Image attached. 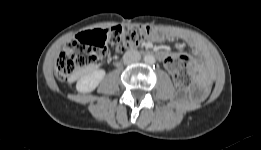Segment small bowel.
<instances>
[{"instance_id": "1", "label": "small bowel", "mask_w": 261, "mask_h": 150, "mask_svg": "<svg viewBox=\"0 0 261 150\" xmlns=\"http://www.w3.org/2000/svg\"><path fill=\"white\" fill-rule=\"evenodd\" d=\"M165 39H175V40H183L185 41L189 46L195 48L198 51L202 50V46L200 44V42L195 39L194 37L188 35V34H184V33H180L177 31H171V30H154L153 33L149 36V40L151 42H161ZM151 43L147 42L146 46L150 47ZM158 58L162 61H164L165 66L167 67V61L171 58H173V55L170 51H160L158 52ZM199 70L201 69V67H198Z\"/></svg>"}]
</instances>
